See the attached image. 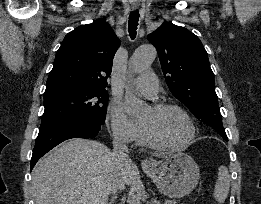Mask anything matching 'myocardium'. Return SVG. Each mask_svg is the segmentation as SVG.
<instances>
[{
  "mask_svg": "<svg viewBox=\"0 0 261 204\" xmlns=\"http://www.w3.org/2000/svg\"><path fill=\"white\" fill-rule=\"evenodd\" d=\"M150 108L155 114H160L166 110L178 111L186 119V121L189 125V129H190L189 136L183 143L178 144V145H170V144L164 143L157 136L155 131L150 126H148L144 123H141L142 129H143L149 143L153 147H155L157 149H161V150H166V151H179V150H183V149L187 148L192 143V141L194 140V138L196 136V127H195L192 117L182 106H180L179 104H176V103H171V102H160V103L153 104Z\"/></svg>",
  "mask_w": 261,
  "mask_h": 204,
  "instance_id": "obj_1",
  "label": "myocardium"
}]
</instances>
